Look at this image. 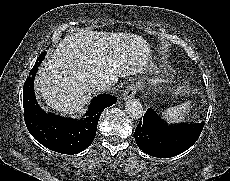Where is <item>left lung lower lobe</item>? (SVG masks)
<instances>
[{
    "label": "left lung lower lobe",
    "mask_w": 230,
    "mask_h": 181,
    "mask_svg": "<svg viewBox=\"0 0 230 181\" xmlns=\"http://www.w3.org/2000/svg\"><path fill=\"white\" fill-rule=\"evenodd\" d=\"M204 121L196 124L168 125L149 108L135 130L138 147L146 154L170 158L189 149L199 138Z\"/></svg>",
    "instance_id": "0a47b994"
}]
</instances>
